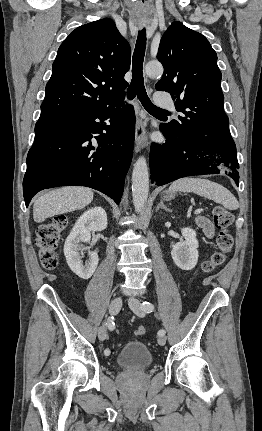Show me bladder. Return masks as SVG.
Listing matches in <instances>:
<instances>
[{
  "label": "bladder",
  "instance_id": "bladder-1",
  "mask_svg": "<svg viewBox=\"0 0 262 431\" xmlns=\"http://www.w3.org/2000/svg\"><path fill=\"white\" fill-rule=\"evenodd\" d=\"M116 360L124 369L134 371L149 366L152 354L142 341H130L119 350Z\"/></svg>",
  "mask_w": 262,
  "mask_h": 431
}]
</instances>
